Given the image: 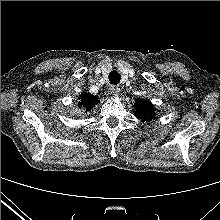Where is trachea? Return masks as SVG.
<instances>
[{
    "mask_svg": "<svg viewBox=\"0 0 220 220\" xmlns=\"http://www.w3.org/2000/svg\"><path fill=\"white\" fill-rule=\"evenodd\" d=\"M108 78L110 84L117 85L120 82L121 75L116 70H113L109 73Z\"/></svg>",
    "mask_w": 220,
    "mask_h": 220,
    "instance_id": "obj_1",
    "label": "trachea"
}]
</instances>
